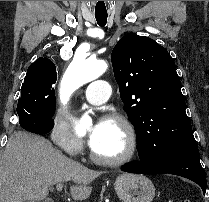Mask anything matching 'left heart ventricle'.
<instances>
[{
  "mask_svg": "<svg viewBox=\"0 0 209 202\" xmlns=\"http://www.w3.org/2000/svg\"><path fill=\"white\" fill-rule=\"evenodd\" d=\"M94 150L103 157H119L128 147V139L123 127L116 122L103 121Z\"/></svg>",
  "mask_w": 209,
  "mask_h": 202,
  "instance_id": "left-heart-ventricle-1",
  "label": "left heart ventricle"
}]
</instances>
